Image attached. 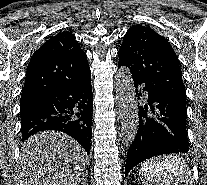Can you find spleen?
I'll return each mask as SVG.
<instances>
[{"instance_id":"spleen-1","label":"spleen","mask_w":207,"mask_h":185,"mask_svg":"<svg viewBox=\"0 0 207 185\" xmlns=\"http://www.w3.org/2000/svg\"><path fill=\"white\" fill-rule=\"evenodd\" d=\"M179 158L177 151L172 153H156V158H146V162H138L133 171H141L137 176L145 185H190L192 170L187 167L188 159Z\"/></svg>"}]
</instances>
